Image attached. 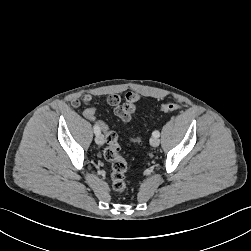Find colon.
I'll list each match as a JSON object with an SVG mask.
<instances>
[{
  "instance_id": "5ec220e1",
  "label": "colon",
  "mask_w": 251,
  "mask_h": 251,
  "mask_svg": "<svg viewBox=\"0 0 251 251\" xmlns=\"http://www.w3.org/2000/svg\"><path fill=\"white\" fill-rule=\"evenodd\" d=\"M180 108L178 103L169 102L161 106V110L164 112L175 111ZM82 118L88 119L90 123L95 124L98 121L96 115V109L93 106H89L81 113ZM98 128L102 129L105 136L106 147L104 149L105 159L111 163V181L112 188L118 193H122L126 190L125 173L127 171V161L120 153V145L118 143V137L114 131L108 129L105 121L100 120L96 124ZM131 142L141 144L142 139L140 137L130 138Z\"/></svg>"
}]
</instances>
